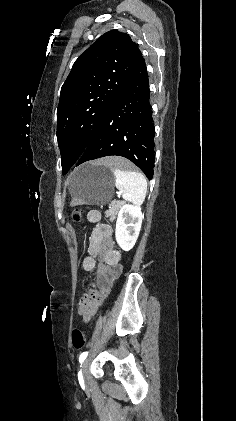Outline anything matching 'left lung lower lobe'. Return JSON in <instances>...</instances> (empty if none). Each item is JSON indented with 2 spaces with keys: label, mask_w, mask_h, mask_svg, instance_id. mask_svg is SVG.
I'll return each mask as SVG.
<instances>
[{
  "label": "left lung lower lobe",
  "mask_w": 236,
  "mask_h": 421,
  "mask_svg": "<svg viewBox=\"0 0 236 421\" xmlns=\"http://www.w3.org/2000/svg\"><path fill=\"white\" fill-rule=\"evenodd\" d=\"M149 99L148 74L139 52L124 87L91 136L76 166L100 157L118 155L131 160L151 179L155 132ZM69 167L62 163L64 174Z\"/></svg>",
  "instance_id": "obj_1"
}]
</instances>
